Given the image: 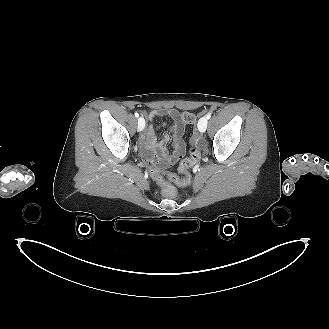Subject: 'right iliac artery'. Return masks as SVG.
Segmentation results:
<instances>
[{
	"label": "right iliac artery",
	"instance_id": "1",
	"mask_svg": "<svg viewBox=\"0 0 329 329\" xmlns=\"http://www.w3.org/2000/svg\"><path fill=\"white\" fill-rule=\"evenodd\" d=\"M135 117H137V118L139 117V114L137 112H135Z\"/></svg>",
	"mask_w": 329,
	"mask_h": 329
}]
</instances>
